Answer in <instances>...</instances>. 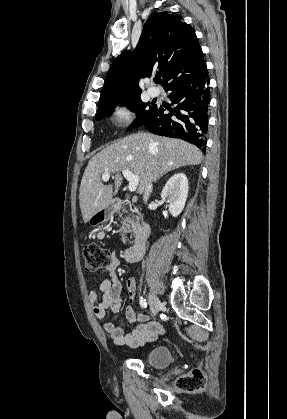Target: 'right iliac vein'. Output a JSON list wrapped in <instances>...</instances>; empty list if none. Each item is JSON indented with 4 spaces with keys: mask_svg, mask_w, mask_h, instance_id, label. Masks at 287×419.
Returning <instances> with one entry per match:
<instances>
[{
    "mask_svg": "<svg viewBox=\"0 0 287 419\" xmlns=\"http://www.w3.org/2000/svg\"><path fill=\"white\" fill-rule=\"evenodd\" d=\"M148 299H149L151 313L153 316H156L160 310L161 302L153 292H149Z\"/></svg>",
    "mask_w": 287,
    "mask_h": 419,
    "instance_id": "63e3f726",
    "label": "right iliac vein"
}]
</instances>
